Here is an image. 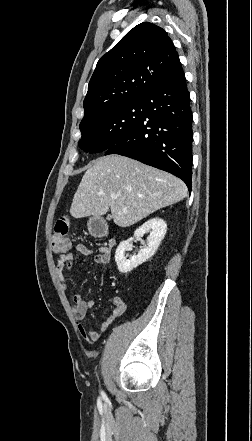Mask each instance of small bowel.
<instances>
[{"label": "small bowel", "instance_id": "obj_1", "mask_svg": "<svg viewBox=\"0 0 252 441\" xmlns=\"http://www.w3.org/2000/svg\"><path fill=\"white\" fill-rule=\"evenodd\" d=\"M75 250L77 253L82 254L84 256L93 257L95 262L99 265H105L110 262L111 255L107 248H102L101 253L94 254L87 246L84 244H77L75 246ZM75 255L73 253L67 254L64 258L58 261L56 266L57 273L60 277V285L63 290H66L67 283L65 278L63 277V270L66 263L73 262ZM73 301V313L75 315L78 329L81 335L89 340L96 341L98 340L102 333L107 330V328L119 317L124 315L127 309V305L125 301L119 297H112L111 301L114 305L112 313L108 315L100 324L99 331L93 330L87 327L86 324V313L89 308H93L95 306L94 300H85L81 295L75 294L72 298Z\"/></svg>", "mask_w": 252, "mask_h": 441}]
</instances>
